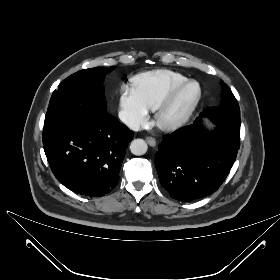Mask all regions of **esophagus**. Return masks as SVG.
Returning <instances> with one entry per match:
<instances>
[{
	"instance_id": "1",
	"label": "esophagus",
	"mask_w": 280,
	"mask_h": 280,
	"mask_svg": "<svg viewBox=\"0 0 280 280\" xmlns=\"http://www.w3.org/2000/svg\"><path fill=\"white\" fill-rule=\"evenodd\" d=\"M146 141L152 147L156 145V140L153 137H146Z\"/></svg>"
}]
</instances>
